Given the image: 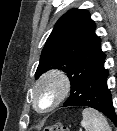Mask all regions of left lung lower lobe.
<instances>
[{
	"label": "left lung lower lobe",
	"instance_id": "left-lung-lower-lobe-1",
	"mask_svg": "<svg viewBox=\"0 0 117 131\" xmlns=\"http://www.w3.org/2000/svg\"><path fill=\"white\" fill-rule=\"evenodd\" d=\"M103 61L92 71L87 81L75 90H71L65 106H89L107 116L117 125V115L112 104L110 90L107 87L108 70Z\"/></svg>",
	"mask_w": 117,
	"mask_h": 131
}]
</instances>
